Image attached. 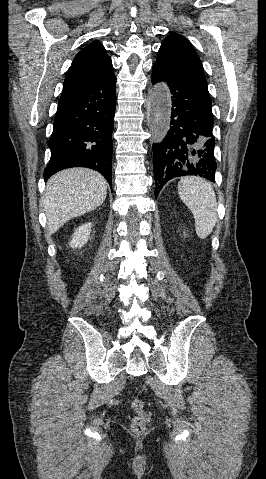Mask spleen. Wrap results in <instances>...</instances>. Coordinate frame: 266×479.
Instances as JSON below:
<instances>
[{
    "instance_id": "3e777b00",
    "label": "spleen",
    "mask_w": 266,
    "mask_h": 479,
    "mask_svg": "<svg viewBox=\"0 0 266 479\" xmlns=\"http://www.w3.org/2000/svg\"><path fill=\"white\" fill-rule=\"evenodd\" d=\"M178 193L194 216L197 236L207 238L217 221V201L211 183L200 177H184L178 183Z\"/></svg>"
}]
</instances>
